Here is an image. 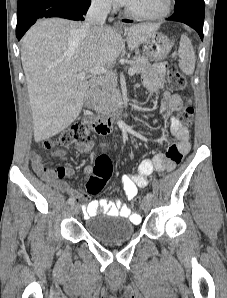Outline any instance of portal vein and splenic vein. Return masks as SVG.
Masks as SVG:
<instances>
[{
	"mask_svg": "<svg viewBox=\"0 0 227 298\" xmlns=\"http://www.w3.org/2000/svg\"><path fill=\"white\" fill-rule=\"evenodd\" d=\"M136 73V69L134 67H130L128 70L129 76H133ZM92 75H105L108 78H113L115 74L112 71H109L105 67H96L91 71ZM86 77L85 73H81L77 76L79 79H83Z\"/></svg>",
	"mask_w": 227,
	"mask_h": 298,
	"instance_id": "obj_1",
	"label": "portal vein and splenic vein"
}]
</instances>
